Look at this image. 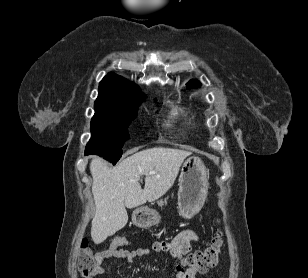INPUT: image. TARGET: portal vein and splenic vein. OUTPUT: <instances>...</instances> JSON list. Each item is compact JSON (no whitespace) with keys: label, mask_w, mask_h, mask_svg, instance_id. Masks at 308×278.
Here are the masks:
<instances>
[{"label":"portal vein and splenic vein","mask_w":308,"mask_h":278,"mask_svg":"<svg viewBox=\"0 0 308 278\" xmlns=\"http://www.w3.org/2000/svg\"><path fill=\"white\" fill-rule=\"evenodd\" d=\"M150 174H155V172H154V171H152V172H150Z\"/></svg>","instance_id":"portal-vein-and-splenic-vein-1"}]
</instances>
